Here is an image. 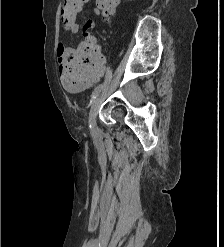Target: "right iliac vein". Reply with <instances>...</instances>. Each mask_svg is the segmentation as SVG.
<instances>
[{
	"label": "right iliac vein",
	"mask_w": 224,
	"mask_h": 247,
	"mask_svg": "<svg viewBox=\"0 0 224 247\" xmlns=\"http://www.w3.org/2000/svg\"><path fill=\"white\" fill-rule=\"evenodd\" d=\"M100 103V96H98L92 103V106L90 108V121L92 126V131L96 132V117L98 112V107Z\"/></svg>",
	"instance_id": "right-iliac-vein-1"
}]
</instances>
